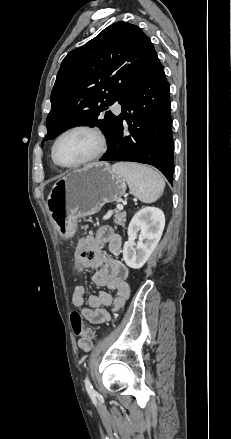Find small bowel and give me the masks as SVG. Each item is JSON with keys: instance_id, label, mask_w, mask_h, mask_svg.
Returning a JSON list of instances; mask_svg holds the SVG:
<instances>
[{"instance_id": "1", "label": "small bowel", "mask_w": 231, "mask_h": 439, "mask_svg": "<svg viewBox=\"0 0 231 439\" xmlns=\"http://www.w3.org/2000/svg\"><path fill=\"white\" fill-rule=\"evenodd\" d=\"M105 246L116 257L122 253V239L109 226H102L95 235L81 239L74 254V258H83L86 269L96 270L91 280L100 288L99 292L86 296V284L76 283L72 293V304L80 309L85 319L95 324L109 321L111 313L122 308L130 295V287L127 283L128 267L117 258H108L104 252ZM111 292H115V296ZM85 300L88 306H84ZM105 307H111V311ZM77 346L82 351L88 352L92 348V341L80 338Z\"/></svg>"}]
</instances>
